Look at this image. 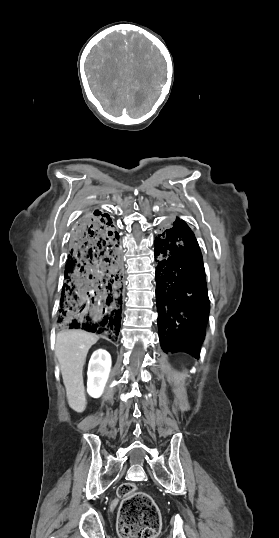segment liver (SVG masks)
Here are the masks:
<instances>
[{"instance_id": "obj_1", "label": "liver", "mask_w": 279, "mask_h": 538, "mask_svg": "<svg viewBox=\"0 0 279 538\" xmlns=\"http://www.w3.org/2000/svg\"><path fill=\"white\" fill-rule=\"evenodd\" d=\"M96 342L98 336L84 330H63L56 336L55 356L59 362L68 404L75 412H84L86 408L82 372L88 350Z\"/></svg>"}]
</instances>
